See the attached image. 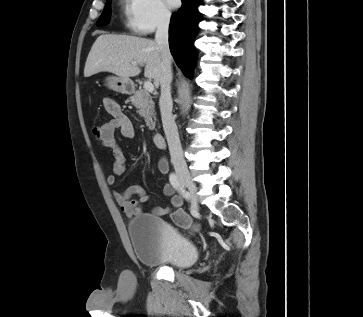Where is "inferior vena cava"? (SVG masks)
<instances>
[{"label": "inferior vena cava", "instance_id": "1", "mask_svg": "<svg viewBox=\"0 0 363 317\" xmlns=\"http://www.w3.org/2000/svg\"><path fill=\"white\" fill-rule=\"evenodd\" d=\"M170 24V14L161 16L155 34V42L161 52L162 73L160 77L161 95L159 106L163 129L169 146L171 162L176 171L188 172L187 164L183 156V151L179 139L178 129L172 115V55L169 49L168 31Z\"/></svg>", "mask_w": 363, "mask_h": 317}]
</instances>
